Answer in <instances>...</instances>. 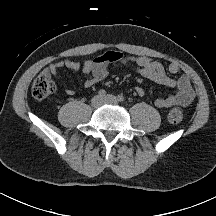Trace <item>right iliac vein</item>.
<instances>
[{
  "mask_svg": "<svg viewBox=\"0 0 216 216\" xmlns=\"http://www.w3.org/2000/svg\"><path fill=\"white\" fill-rule=\"evenodd\" d=\"M103 104V98L100 96H95L91 100V105L94 108H99Z\"/></svg>",
  "mask_w": 216,
  "mask_h": 216,
  "instance_id": "63e3f726",
  "label": "right iliac vein"
}]
</instances>
